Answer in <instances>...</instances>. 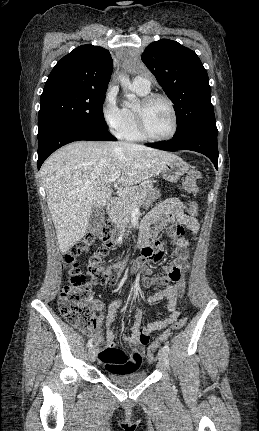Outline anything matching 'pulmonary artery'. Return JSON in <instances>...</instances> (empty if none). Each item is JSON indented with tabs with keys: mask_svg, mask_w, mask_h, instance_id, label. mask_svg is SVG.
<instances>
[{
	"mask_svg": "<svg viewBox=\"0 0 259 431\" xmlns=\"http://www.w3.org/2000/svg\"><path fill=\"white\" fill-rule=\"evenodd\" d=\"M151 81L148 76L139 75L136 76L132 81V87L141 90H150Z\"/></svg>",
	"mask_w": 259,
	"mask_h": 431,
	"instance_id": "obj_1",
	"label": "pulmonary artery"
}]
</instances>
